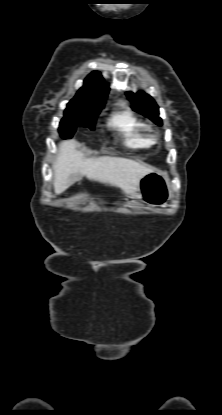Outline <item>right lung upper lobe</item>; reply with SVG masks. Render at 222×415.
<instances>
[{"instance_id":"cb5924a9","label":"right lung upper lobe","mask_w":222,"mask_h":415,"mask_svg":"<svg viewBox=\"0 0 222 415\" xmlns=\"http://www.w3.org/2000/svg\"><path fill=\"white\" fill-rule=\"evenodd\" d=\"M109 88L102 75L93 71L84 80V85L78 90L75 97L68 103L67 109L82 107L101 110L105 104Z\"/></svg>"}]
</instances>
